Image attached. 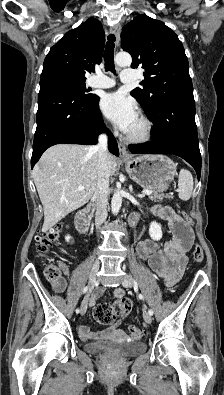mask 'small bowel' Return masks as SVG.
I'll return each instance as SVG.
<instances>
[{
    "label": "small bowel",
    "mask_w": 224,
    "mask_h": 395,
    "mask_svg": "<svg viewBox=\"0 0 224 395\" xmlns=\"http://www.w3.org/2000/svg\"><path fill=\"white\" fill-rule=\"evenodd\" d=\"M153 212L167 222L168 227L174 232V236L166 241L163 247L152 240L140 242L137 246V255L141 260L146 261L152 271L164 280L166 286L172 287L180 280L184 272L187 263L186 252L192 244V236L189 229L187 232L181 230L184 221L170 207L157 206L153 209ZM50 286L54 291L62 293L66 288V280L62 277L58 281L51 282ZM102 291V287L94 291L91 303L95 302ZM115 296L122 297L123 290L117 289ZM113 329L114 327H110L109 331ZM78 331L84 339H91L95 336L86 325H80Z\"/></svg>",
    "instance_id": "small-bowel-1"
}]
</instances>
